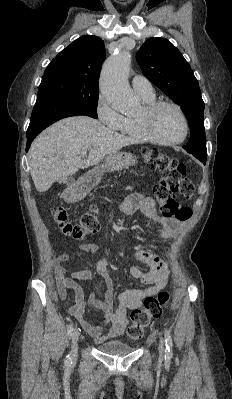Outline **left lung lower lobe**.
I'll return each mask as SVG.
<instances>
[{
    "label": "left lung lower lobe",
    "instance_id": "0a47b994",
    "mask_svg": "<svg viewBox=\"0 0 232 399\" xmlns=\"http://www.w3.org/2000/svg\"><path fill=\"white\" fill-rule=\"evenodd\" d=\"M202 163H206V159H199Z\"/></svg>",
    "mask_w": 232,
    "mask_h": 399
}]
</instances>
